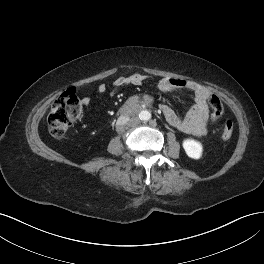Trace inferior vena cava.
<instances>
[{
	"label": "inferior vena cava",
	"mask_w": 264,
	"mask_h": 264,
	"mask_svg": "<svg viewBox=\"0 0 264 264\" xmlns=\"http://www.w3.org/2000/svg\"><path fill=\"white\" fill-rule=\"evenodd\" d=\"M129 120H130L129 117H127V116H120L119 119H118V121H117V123H118V125H124Z\"/></svg>",
	"instance_id": "1"
}]
</instances>
